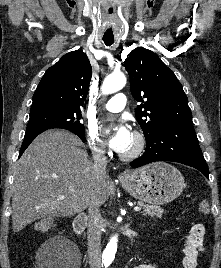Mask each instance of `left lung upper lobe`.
<instances>
[{"mask_svg":"<svg viewBox=\"0 0 221 268\" xmlns=\"http://www.w3.org/2000/svg\"><path fill=\"white\" fill-rule=\"evenodd\" d=\"M135 115L146 141L164 127L192 125L188 99L175 74L152 51L138 47L125 60ZM143 109V110H142Z\"/></svg>","mask_w":221,"mask_h":268,"instance_id":"1","label":"left lung upper lobe"}]
</instances>
